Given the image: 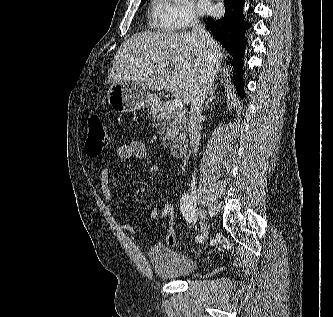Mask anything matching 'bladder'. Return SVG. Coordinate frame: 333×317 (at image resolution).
Masks as SVG:
<instances>
[{"label":"bladder","instance_id":"bladder-1","mask_svg":"<svg viewBox=\"0 0 333 317\" xmlns=\"http://www.w3.org/2000/svg\"><path fill=\"white\" fill-rule=\"evenodd\" d=\"M147 255L155 274L164 279L191 276L199 267L194 257L179 253L162 244L153 245Z\"/></svg>","mask_w":333,"mask_h":317}]
</instances>
